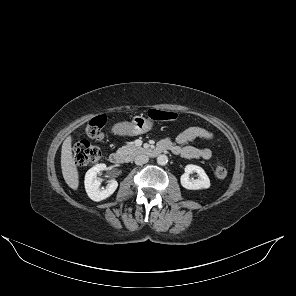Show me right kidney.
I'll return each instance as SVG.
<instances>
[{
    "label": "right kidney",
    "instance_id": "obj_1",
    "mask_svg": "<svg viewBox=\"0 0 296 296\" xmlns=\"http://www.w3.org/2000/svg\"><path fill=\"white\" fill-rule=\"evenodd\" d=\"M105 169V164H97L90 168L85 175L86 192L89 198L96 202L110 197L118 187L117 181L111 180L105 189L100 190L101 182L98 180L97 175Z\"/></svg>",
    "mask_w": 296,
    "mask_h": 296
}]
</instances>
